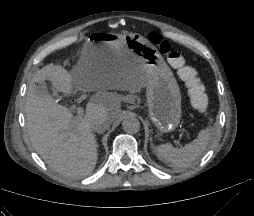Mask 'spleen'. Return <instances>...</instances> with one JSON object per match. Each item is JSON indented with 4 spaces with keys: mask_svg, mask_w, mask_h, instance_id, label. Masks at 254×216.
<instances>
[{
    "mask_svg": "<svg viewBox=\"0 0 254 216\" xmlns=\"http://www.w3.org/2000/svg\"><path fill=\"white\" fill-rule=\"evenodd\" d=\"M212 130L206 128L201 130L197 137L180 148H174L167 143L155 148L156 156L176 170H182L192 165L206 150L211 139Z\"/></svg>",
    "mask_w": 254,
    "mask_h": 216,
    "instance_id": "3e777b00",
    "label": "spleen"
}]
</instances>
